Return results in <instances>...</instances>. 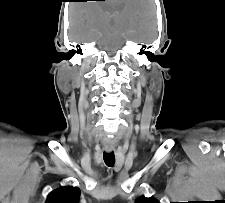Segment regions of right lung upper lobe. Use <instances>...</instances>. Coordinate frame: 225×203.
Here are the masks:
<instances>
[{"mask_svg":"<svg viewBox=\"0 0 225 203\" xmlns=\"http://www.w3.org/2000/svg\"><path fill=\"white\" fill-rule=\"evenodd\" d=\"M80 190L74 187H62L51 192L46 203H78Z\"/></svg>","mask_w":225,"mask_h":203,"instance_id":"1","label":"right lung upper lobe"}]
</instances>
